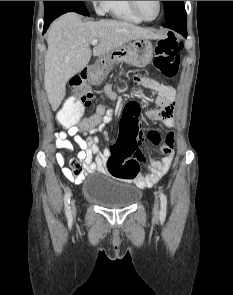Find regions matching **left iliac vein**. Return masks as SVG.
Instances as JSON below:
<instances>
[{
	"instance_id": "4c4485c4",
	"label": "left iliac vein",
	"mask_w": 233,
	"mask_h": 295,
	"mask_svg": "<svg viewBox=\"0 0 233 295\" xmlns=\"http://www.w3.org/2000/svg\"><path fill=\"white\" fill-rule=\"evenodd\" d=\"M153 214H154L155 217H157L158 214H159V200H158L157 197L155 198V204H154V207H153Z\"/></svg>"
}]
</instances>
